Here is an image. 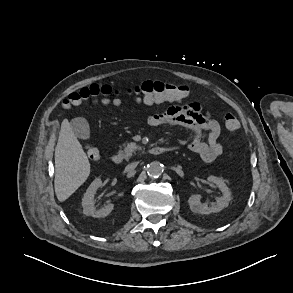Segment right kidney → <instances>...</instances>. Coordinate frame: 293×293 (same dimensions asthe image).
Listing matches in <instances>:
<instances>
[{"mask_svg": "<svg viewBox=\"0 0 293 293\" xmlns=\"http://www.w3.org/2000/svg\"><path fill=\"white\" fill-rule=\"evenodd\" d=\"M102 186V181L99 178H96L91 185L88 187L86 193L84 194V197L82 199V206H83V213L86 216H92L95 218H101L106 217L109 215L113 208L114 204H107L101 209H96L94 207L95 201L94 196L96 194V191L98 188Z\"/></svg>", "mask_w": 293, "mask_h": 293, "instance_id": "right-kidney-1", "label": "right kidney"}]
</instances>
